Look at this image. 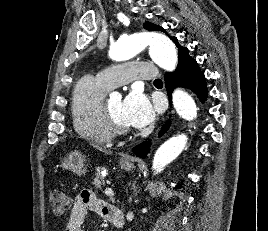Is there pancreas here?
I'll return each mask as SVG.
<instances>
[{
	"label": "pancreas",
	"instance_id": "1",
	"mask_svg": "<svg viewBox=\"0 0 268 231\" xmlns=\"http://www.w3.org/2000/svg\"><path fill=\"white\" fill-rule=\"evenodd\" d=\"M104 170L103 167H97L96 168V173H95V178L93 181V184L95 185V187L99 190H102V186L105 185V180L104 178L101 176V171Z\"/></svg>",
	"mask_w": 268,
	"mask_h": 231
}]
</instances>
